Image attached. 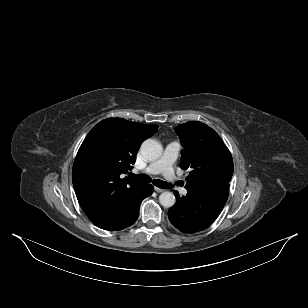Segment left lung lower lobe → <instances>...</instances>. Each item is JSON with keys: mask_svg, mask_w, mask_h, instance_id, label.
<instances>
[{"mask_svg": "<svg viewBox=\"0 0 308 308\" xmlns=\"http://www.w3.org/2000/svg\"><path fill=\"white\" fill-rule=\"evenodd\" d=\"M229 193V183L207 187L180 197L168 211L170 222L183 233H195L212 224L222 211Z\"/></svg>", "mask_w": 308, "mask_h": 308, "instance_id": "obj_1", "label": "left lung lower lobe"}]
</instances>
